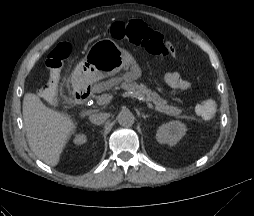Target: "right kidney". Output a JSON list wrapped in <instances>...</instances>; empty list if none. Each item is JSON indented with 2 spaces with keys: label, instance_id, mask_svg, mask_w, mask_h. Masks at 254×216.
<instances>
[{
  "label": "right kidney",
  "instance_id": "1",
  "mask_svg": "<svg viewBox=\"0 0 254 216\" xmlns=\"http://www.w3.org/2000/svg\"><path fill=\"white\" fill-rule=\"evenodd\" d=\"M87 141V137L85 134H77L74 138V143L76 145H82Z\"/></svg>",
  "mask_w": 254,
  "mask_h": 216
}]
</instances>
